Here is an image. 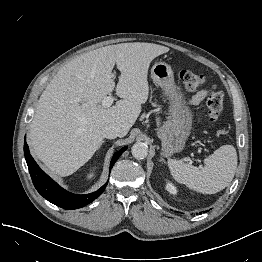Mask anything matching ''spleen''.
I'll list each match as a JSON object with an SVG mask.
<instances>
[{
	"label": "spleen",
	"instance_id": "1",
	"mask_svg": "<svg viewBox=\"0 0 262 262\" xmlns=\"http://www.w3.org/2000/svg\"><path fill=\"white\" fill-rule=\"evenodd\" d=\"M171 175L180 184L202 194H215L232 181L237 154L232 145H223L205 159V166L198 168L181 160H168Z\"/></svg>",
	"mask_w": 262,
	"mask_h": 262
}]
</instances>
